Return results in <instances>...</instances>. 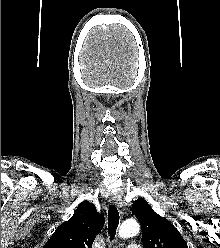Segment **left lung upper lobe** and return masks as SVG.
Here are the masks:
<instances>
[{
	"mask_svg": "<svg viewBox=\"0 0 220 248\" xmlns=\"http://www.w3.org/2000/svg\"><path fill=\"white\" fill-rule=\"evenodd\" d=\"M132 212L140 221L144 248H188L174 225L155 213L143 198L133 202Z\"/></svg>",
	"mask_w": 220,
	"mask_h": 248,
	"instance_id": "obj_1",
	"label": "left lung upper lobe"
}]
</instances>
